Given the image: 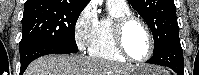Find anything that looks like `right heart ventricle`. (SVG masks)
Listing matches in <instances>:
<instances>
[{"instance_id": "right-heart-ventricle-1", "label": "right heart ventricle", "mask_w": 199, "mask_h": 75, "mask_svg": "<svg viewBox=\"0 0 199 75\" xmlns=\"http://www.w3.org/2000/svg\"><path fill=\"white\" fill-rule=\"evenodd\" d=\"M109 8L111 16L99 21L97 34L89 47V54L95 58L124 63L127 59L119 52L115 45L112 24L117 18L129 15L130 11L128 7L119 8L110 6Z\"/></svg>"}]
</instances>
